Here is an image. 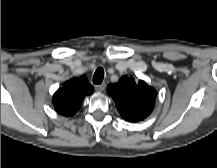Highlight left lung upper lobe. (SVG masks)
<instances>
[{"label":"left lung upper lobe","instance_id":"5c2ea615","mask_svg":"<svg viewBox=\"0 0 217 168\" xmlns=\"http://www.w3.org/2000/svg\"><path fill=\"white\" fill-rule=\"evenodd\" d=\"M107 93L113 98L121 116L129 122L145 119L154 108L155 89L142 80L136 82L132 76H123L118 83L109 84Z\"/></svg>","mask_w":217,"mask_h":168}]
</instances>
